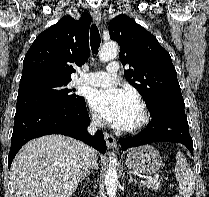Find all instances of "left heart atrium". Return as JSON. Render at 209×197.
Listing matches in <instances>:
<instances>
[{
	"label": "left heart atrium",
	"instance_id": "1",
	"mask_svg": "<svg viewBox=\"0 0 209 197\" xmlns=\"http://www.w3.org/2000/svg\"><path fill=\"white\" fill-rule=\"evenodd\" d=\"M90 105L105 120L119 128L130 127L138 110L135 97L116 87L94 91Z\"/></svg>",
	"mask_w": 209,
	"mask_h": 197
}]
</instances>
